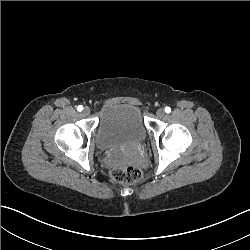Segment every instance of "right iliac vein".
Wrapping results in <instances>:
<instances>
[{
	"label": "right iliac vein",
	"instance_id": "obj_1",
	"mask_svg": "<svg viewBox=\"0 0 250 250\" xmlns=\"http://www.w3.org/2000/svg\"><path fill=\"white\" fill-rule=\"evenodd\" d=\"M83 114H84V115H89V114H90V108L85 107V108L83 109Z\"/></svg>",
	"mask_w": 250,
	"mask_h": 250
}]
</instances>
